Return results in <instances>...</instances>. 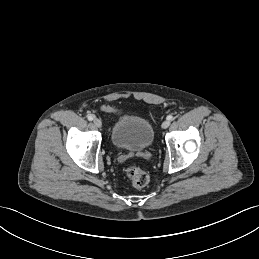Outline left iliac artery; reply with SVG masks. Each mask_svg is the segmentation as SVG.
I'll use <instances>...</instances> for the list:
<instances>
[{"label":"left iliac artery","mask_w":259,"mask_h":259,"mask_svg":"<svg viewBox=\"0 0 259 259\" xmlns=\"http://www.w3.org/2000/svg\"><path fill=\"white\" fill-rule=\"evenodd\" d=\"M167 120L172 121L173 120V116L172 115L167 116Z\"/></svg>","instance_id":"obj_1"}]
</instances>
